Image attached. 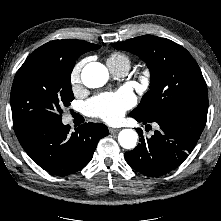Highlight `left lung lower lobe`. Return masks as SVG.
I'll return each instance as SVG.
<instances>
[{
	"label": "left lung lower lobe",
	"instance_id": "obj_1",
	"mask_svg": "<svg viewBox=\"0 0 221 221\" xmlns=\"http://www.w3.org/2000/svg\"><path fill=\"white\" fill-rule=\"evenodd\" d=\"M130 116L143 124H158L150 138L144 136L142 129H137L140 143L125 153L127 163L134 170L150 177H159L177 168L194 149L207 120V115L193 110L165 117Z\"/></svg>",
	"mask_w": 221,
	"mask_h": 221
}]
</instances>
